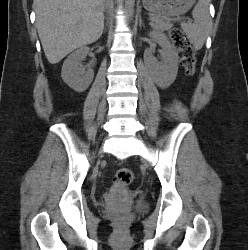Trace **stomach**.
Segmentation results:
<instances>
[{
  "label": "stomach",
  "instance_id": "1",
  "mask_svg": "<svg viewBox=\"0 0 248 250\" xmlns=\"http://www.w3.org/2000/svg\"><path fill=\"white\" fill-rule=\"evenodd\" d=\"M196 0H142L146 10L166 16H179L186 13Z\"/></svg>",
  "mask_w": 248,
  "mask_h": 250
}]
</instances>
